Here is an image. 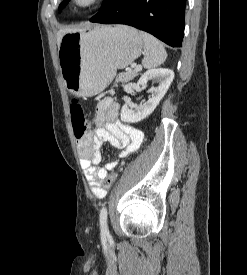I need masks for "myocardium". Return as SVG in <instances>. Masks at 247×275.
I'll list each match as a JSON object with an SVG mask.
<instances>
[{
	"label": "myocardium",
	"mask_w": 247,
	"mask_h": 275,
	"mask_svg": "<svg viewBox=\"0 0 247 275\" xmlns=\"http://www.w3.org/2000/svg\"><path fill=\"white\" fill-rule=\"evenodd\" d=\"M103 0H70L73 8L85 11L97 7Z\"/></svg>",
	"instance_id": "obj_1"
}]
</instances>
